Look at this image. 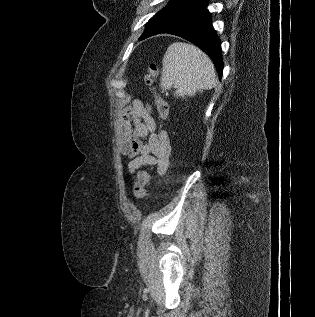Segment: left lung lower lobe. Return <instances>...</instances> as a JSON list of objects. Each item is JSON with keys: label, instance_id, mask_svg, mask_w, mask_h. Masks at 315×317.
<instances>
[{"label": "left lung lower lobe", "instance_id": "left-lung-lower-lobe-1", "mask_svg": "<svg viewBox=\"0 0 315 317\" xmlns=\"http://www.w3.org/2000/svg\"><path fill=\"white\" fill-rule=\"evenodd\" d=\"M208 0H200L181 16L165 33L180 36L203 50L213 61L219 78L222 77L223 59L221 41L212 26ZM143 40V39H140Z\"/></svg>", "mask_w": 315, "mask_h": 317}]
</instances>
